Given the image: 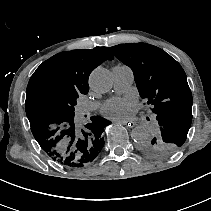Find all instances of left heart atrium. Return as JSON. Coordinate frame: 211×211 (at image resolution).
I'll use <instances>...</instances> for the list:
<instances>
[{
	"mask_svg": "<svg viewBox=\"0 0 211 211\" xmlns=\"http://www.w3.org/2000/svg\"><path fill=\"white\" fill-rule=\"evenodd\" d=\"M136 108V100L133 98H115L109 100L103 108L106 115L121 117L131 113Z\"/></svg>",
	"mask_w": 211,
	"mask_h": 211,
	"instance_id": "39dd6f15",
	"label": "left heart atrium"
}]
</instances>
